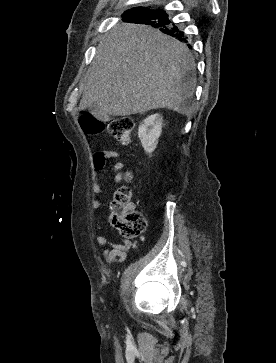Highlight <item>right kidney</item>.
I'll use <instances>...</instances> for the list:
<instances>
[{"label":"right kidney","mask_w":276,"mask_h":363,"mask_svg":"<svg viewBox=\"0 0 276 363\" xmlns=\"http://www.w3.org/2000/svg\"><path fill=\"white\" fill-rule=\"evenodd\" d=\"M163 118L159 114H153L143 120L138 128V136L145 152L151 154L157 147L158 139L162 131Z\"/></svg>","instance_id":"1"}]
</instances>
